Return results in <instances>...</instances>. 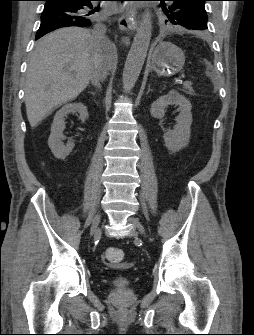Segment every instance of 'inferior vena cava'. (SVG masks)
Returning a JSON list of instances; mask_svg holds the SVG:
<instances>
[{"mask_svg":"<svg viewBox=\"0 0 254 335\" xmlns=\"http://www.w3.org/2000/svg\"><path fill=\"white\" fill-rule=\"evenodd\" d=\"M105 32L106 27L104 25L97 24L94 26V29L92 31V37L95 41L100 42L102 40H105ZM107 74V66L102 63L99 58H96L90 75L91 83L99 87V82L105 80Z\"/></svg>","mask_w":254,"mask_h":335,"instance_id":"obj_1","label":"inferior vena cava"}]
</instances>
